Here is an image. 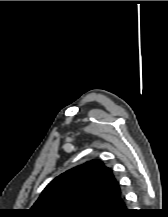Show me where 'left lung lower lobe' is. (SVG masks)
Masks as SVG:
<instances>
[{
    "label": "left lung lower lobe",
    "mask_w": 168,
    "mask_h": 217,
    "mask_svg": "<svg viewBox=\"0 0 168 217\" xmlns=\"http://www.w3.org/2000/svg\"><path fill=\"white\" fill-rule=\"evenodd\" d=\"M130 214L131 211L127 209L125 197L121 193L109 203L106 211L99 217H129Z\"/></svg>",
    "instance_id": "left-lung-lower-lobe-1"
}]
</instances>
